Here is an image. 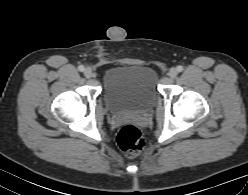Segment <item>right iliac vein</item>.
Returning a JSON list of instances; mask_svg holds the SVG:
<instances>
[{"mask_svg": "<svg viewBox=\"0 0 248 195\" xmlns=\"http://www.w3.org/2000/svg\"><path fill=\"white\" fill-rule=\"evenodd\" d=\"M84 75H85L87 78L92 77L93 72H92L91 68H86V69L84 70Z\"/></svg>", "mask_w": 248, "mask_h": 195, "instance_id": "63e3f726", "label": "right iliac vein"}]
</instances>
